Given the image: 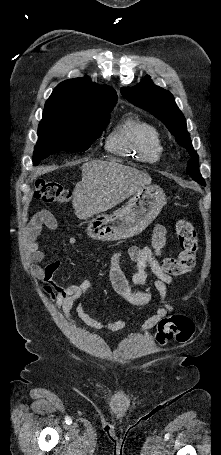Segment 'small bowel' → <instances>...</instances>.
<instances>
[{
  "mask_svg": "<svg viewBox=\"0 0 221 455\" xmlns=\"http://www.w3.org/2000/svg\"><path fill=\"white\" fill-rule=\"evenodd\" d=\"M44 227L55 229L57 221L47 210L36 213L27 224L25 243L27 253L33 262H40L45 258V253L39 248V235ZM78 238L70 236L68 243L77 245ZM166 244V230L162 225H157L153 231L151 245L145 247L130 246L126 249L125 255L132 261L134 273L131 283L141 289H135L126 278L122 267V252L114 254L110 260L109 276L115 291L133 306H144L154 300V293L148 281L147 268L149 267L156 276L154 288L158 292L163 306L159 307L140 326L141 331H148L154 328L158 322L174 312V306L168 299V287L173 283L171 276L165 274L160 266L159 257ZM60 262L54 261L41 267L44 284V291L49 294L69 322H73L72 311L75 310L77 317L90 328L99 331L118 332L125 328L129 318L115 322L104 323L90 316L83 308L81 299L92 289V283L85 280L78 285H61L55 280V274L60 268Z\"/></svg>",
  "mask_w": 221,
  "mask_h": 455,
  "instance_id": "obj_1",
  "label": "small bowel"
}]
</instances>
